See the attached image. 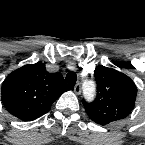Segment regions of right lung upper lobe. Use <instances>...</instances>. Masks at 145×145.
Wrapping results in <instances>:
<instances>
[{
	"label": "right lung upper lobe",
	"mask_w": 145,
	"mask_h": 145,
	"mask_svg": "<svg viewBox=\"0 0 145 145\" xmlns=\"http://www.w3.org/2000/svg\"><path fill=\"white\" fill-rule=\"evenodd\" d=\"M72 89L60 73L45 64L25 65L10 73L2 84V103L15 117L32 121L46 114L62 93Z\"/></svg>",
	"instance_id": "right-lung-upper-lobe-1"
}]
</instances>
